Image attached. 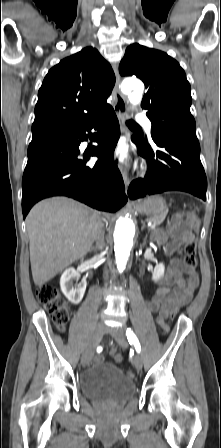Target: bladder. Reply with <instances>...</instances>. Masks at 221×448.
I'll list each match as a JSON object with an SVG mask.
<instances>
[{
  "label": "bladder",
  "mask_w": 221,
  "mask_h": 448,
  "mask_svg": "<svg viewBox=\"0 0 221 448\" xmlns=\"http://www.w3.org/2000/svg\"><path fill=\"white\" fill-rule=\"evenodd\" d=\"M82 395L93 402L121 405L135 393V383L118 366L101 362L85 371L79 380Z\"/></svg>",
  "instance_id": "31cf9c89"
}]
</instances>
